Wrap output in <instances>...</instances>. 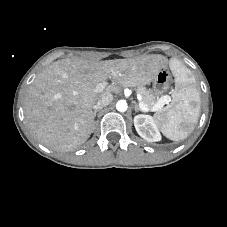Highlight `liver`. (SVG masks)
Masks as SVG:
<instances>
[{
    "label": "liver",
    "instance_id": "obj_1",
    "mask_svg": "<svg viewBox=\"0 0 227 227\" xmlns=\"http://www.w3.org/2000/svg\"><path fill=\"white\" fill-rule=\"evenodd\" d=\"M167 62L166 57L155 54L105 61L83 58L55 61L25 92L26 126L40 143L52 150L78 149L91 135L93 105L103 95L149 84ZM109 78L114 85H107ZM100 83L105 88L95 93Z\"/></svg>",
    "mask_w": 227,
    "mask_h": 227
}]
</instances>
